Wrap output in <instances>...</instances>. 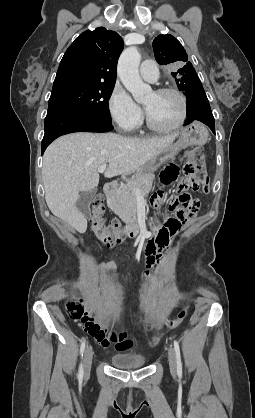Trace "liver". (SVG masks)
Segmentation results:
<instances>
[{"mask_svg":"<svg viewBox=\"0 0 255 418\" xmlns=\"http://www.w3.org/2000/svg\"><path fill=\"white\" fill-rule=\"evenodd\" d=\"M178 133L155 138H130L115 133H72L56 139L43 156L42 178L50 211L78 232L87 220L76 202L80 192L95 189L98 167L108 163L107 178L129 175L172 145Z\"/></svg>","mask_w":255,"mask_h":418,"instance_id":"obj_1","label":"liver"}]
</instances>
